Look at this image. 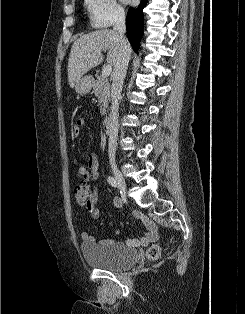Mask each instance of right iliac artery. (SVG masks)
Returning <instances> with one entry per match:
<instances>
[{"mask_svg":"<svg viewBox=\"0 0 245 314\" xmlns=\"http://www.w3.org/2000/svg\"><path fill=\"white\" fill-rule=\"evenodd\" d=\"M107 181L113 187H117L118 186V183H117L116 179L111 177V176L108 177Z\"/></svg>","mask_w":245,"mask_h":314,"instance_id":"obj_1","label":"right iliac artery"}]
</instances>
